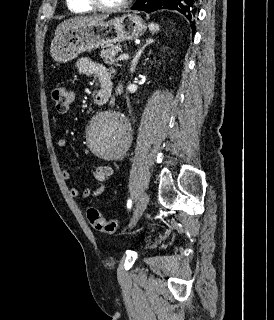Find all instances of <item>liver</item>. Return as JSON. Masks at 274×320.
<instances>
[{
	"label": "liver",
	"mask_w": 274,
	"mask_h": 320,
	"mask_svg": "<svg viewBox=\"0 0 274 320\" xmlns=\"http://www.w3.org/2000/svg\"><path fill=\"white\" fill-rule=\"evenodd\" d=\"M109 16H75V18H70V20H64L62 24H59L55 30V34H59L61 30L65 28H74V26H84V24H97V22H103L107 20Z\"/></svg>",
	"instance_id": "liver-1"
}]
</instances>
